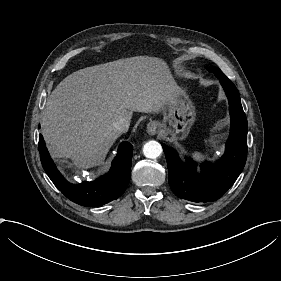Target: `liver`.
<instances>
[{
  "label": "liver",
  "instance_id": "obj_1",
  "mask_svg": "<svg viewBox=\"0 0 281 281\" xmlns=\"http://www.w3.org/2000/svg\"><path fill=\"white\" fill-rule=\"evenodd\" d=\"M179 90L168 62L139 55L89 66L66 76L52 91L41 134L52 159L78 170L103 163L133 112H157Z\"/></svg>",
  "mask_w": 281,
  "mask_h": 281
}]
</instances>
